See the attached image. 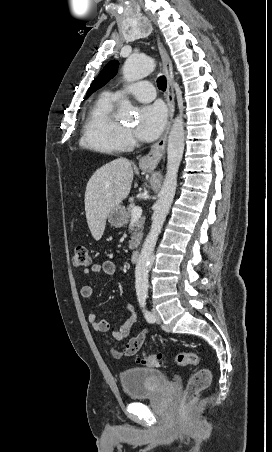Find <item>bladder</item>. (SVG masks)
Segmentation results:
<instances>
[{
    "label": "bladder",
    "instance_id": "1",
    "mask_svg": "<svg viewBox=\"0 0 272 452\" xmlns=\"http://www.w3.org/2000/svg\"><path fill=\"white\" fill-rule=\"evenodd\" d=\"M120 385L131 399L148 397L166 383L164 373L157 369L129 367L118 373Z\"/></svg>",
    "mask_w": 272,
    "mask_h": 452
}]
</instances>
